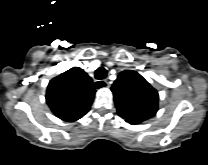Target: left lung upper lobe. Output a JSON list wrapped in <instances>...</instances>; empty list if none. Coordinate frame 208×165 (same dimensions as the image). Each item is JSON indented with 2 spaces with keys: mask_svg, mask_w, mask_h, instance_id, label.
I'll return each mask as SVG.
<instances>
[{
  "mask_svg": "<svg viewBox=\"0 0 208 165\" xmlns=\"http://www.w3.org/2000/svg\"><path fill=\"white\" fill-rule=\"evenodd\" d=\"M111 91L119 116L132 125L152 118L158 111V92L135 71H122Z\"/></svg>",
  "mask_w": 208,
  "mask_h": 165,
  "instance_id": "5c2ea615",
  "label": "left lung upper lobe"
}]
</instances>
